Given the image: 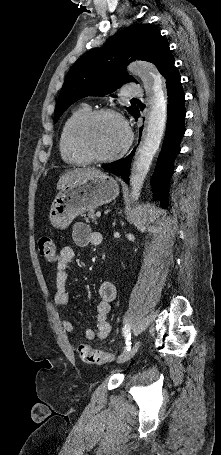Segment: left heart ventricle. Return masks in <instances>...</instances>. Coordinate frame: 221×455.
<instances>
[{
    "mask_svg": "<svg viewBox=\"0 0 221 455\" xmlns=\"http://www.w3.org/2000/svg\"><path fill=\"white\" fill-rule=\"evenodd\" d=\"M126 139L125 129L119 119L104 116L96 120L88 130L87 143L98 156H107L118 151Z\"/></svg>",
    "mask_w": 221,
    "mask_h": 455,
    "instance_id": "b2bd125f",
    "label": "left heart ventricle"
}]
</instances>
